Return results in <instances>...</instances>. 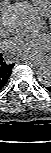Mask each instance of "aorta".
Masks as SVG:
<instances>
[{
  "label": "aorta",
  "instance_id": "762f6f07",
  "mask_svg": "<svg viewBox=\"0 0 51 153\" xmlns=\"http://www.w3.org/2000/svg\"><path fill=\"white\" fill-rule=\"evenodd\" d=\"M6 27L13 33L28 35L38 30L40 18L35 8L26 1L13 4L4 15ZM38 81L45 85L51 84V66L43 65L38 68Z\"/></svg>",
  "mask_w": 51,
  "mask_h": 153
}]
</instances>
